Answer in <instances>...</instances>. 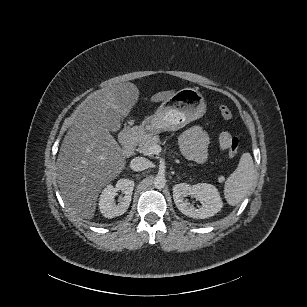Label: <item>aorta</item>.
I'll use <instances>...</instances> for the list:
<instances>
[{
  "mask_svg": "<svg viewBox=\"0 0 307 307\" xmlns=\"http://www.w3.org/2000/svg\"><path fill=\"white\" fill-rule=\"evenodd\" d=\"M154 186L157 188V189H162L165 187L166 185V178L165 176L163 175H157L155 178H154Z\"/></svg>",
  "mask_w": 307,
  "mask_h": 307,
  "instance_id": "1",
  "label": "aorta"
}]
</instances>
